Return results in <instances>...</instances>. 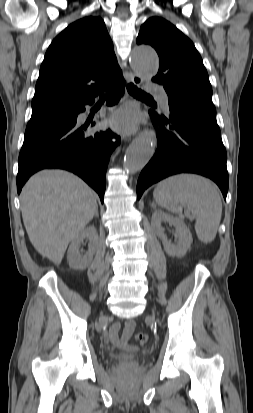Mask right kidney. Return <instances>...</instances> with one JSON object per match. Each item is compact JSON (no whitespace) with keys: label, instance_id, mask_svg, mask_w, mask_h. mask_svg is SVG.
Segmentation results:
<instances>
[{"label":"right kidney","instance_id":"ca27d5eb","mask_svg":"<svg viewBox=\"0 0 253 413\" xmlns=\"http://www.w3.org/2000/svg\"><path fill=\"white\" fill-rule=\"evenodd\" d=\"M84 239L89 240L88 251L82 255L79 248ZM98 248V234L94 226L82 230L71 242L67 252L70 268L84 270L89 267Z\"/></svg>","mask_w":253,"mask_h":413}]
</instances>
